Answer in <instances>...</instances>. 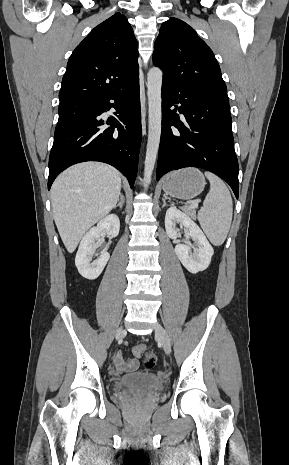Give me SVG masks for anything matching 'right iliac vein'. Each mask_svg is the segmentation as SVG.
<instances>
[{
  "mask_svg": "<svg viewBox=\"0 0 289 465\" xmlns=\"http://www.w3.org/2000/svg\"><path fill=\"white\" fill-rule=\"evenodd\" d=\"M124 333H125V330L123 328H119L117 333H116V338L117 339L121 338Z\"/></svg>",
  "mask_w": 289,
  "mask_h": 465,
  "instance_id": "obj_1",
  "label": "right iliac vein"
}]
</instances>
